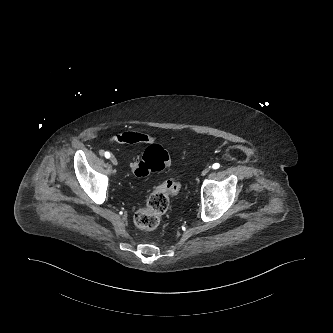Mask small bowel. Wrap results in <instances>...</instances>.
I'll list each match as a JSON object with an SVG mask.
<instances>
[{
    "mask_svg": "<svg viewBox=\"0 0 333 333\" xmlns=\"http://www.w3.org/2000/svg\"><path fill=\"white\" fill-rule=\"evenodd\" d=\"M113 141L119 144H153L156 137L142 132L126 131L115 135Z\"/></svg>",
    "mask_w": 333,
    "mask_h": 333,
    "instance_id": "1",
    "label": "small bowel"
}]
</instances>
